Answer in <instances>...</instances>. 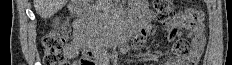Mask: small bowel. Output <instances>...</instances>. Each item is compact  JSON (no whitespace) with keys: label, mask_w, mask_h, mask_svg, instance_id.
<instances>
[{"label":"small bowel","mask_w":232,"mask_h":65,"mask_svg":"<svg viewBox=\"0 0 232 65\" xmlns=\"http://www.w3.org/2000/svg\"><path fill=\"white\" fill-rule=\"evenodd\" d=\"M141 10L142 19L147 23L153 19V12L146 9L144 6H139ZM167 30L171 39H175L183 34H187L191 39V52L185 60L178 58L165 63L163 65H196L200 59L202 50L205 45V36L202 32L203 25L197 29L192 30L188 23L186 14H178L171 23L167 26ZM153 29H141L140 33L136 34L138 38L135 41V46H140L144 43V38H149L150 34H153ZM90 47L89 36L84 27H82L78 21L74 23V37L73 40L66 45L65 53L69 58L75 59L80 49ZM98 65H107L108 57L105 50L97 54Z\"/></svg>","instance_id":"1"}]
</instances>
